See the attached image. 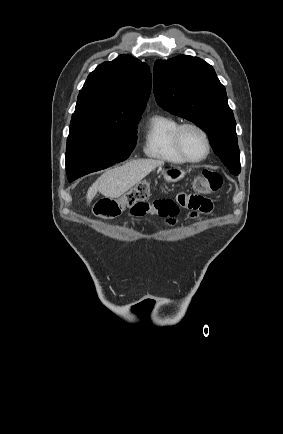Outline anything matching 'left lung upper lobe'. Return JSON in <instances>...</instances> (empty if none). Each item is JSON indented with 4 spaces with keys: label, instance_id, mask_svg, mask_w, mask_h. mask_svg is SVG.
<instances>
[{
    "label": "left lung upper lobe",
    "instance_id": "left-lung-upper-lobe-1",
    "mask_svg": "<svg viewBox=\"0 0 283 434\" xmlns=\"http://www.w3.org/2000/svg\"><path fill=\"white\" fill-rule=\"evenodd\" d=\"M157 103L171 114L201 127L214 153L234 175L241 170L234 114L225 87L211 65L198 57L180 55L157 60L153 69Z\"/></svg>",
    "mask_w": 283,
    "mask_h": 434
}]
</instances>
